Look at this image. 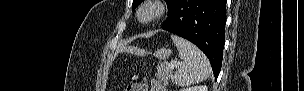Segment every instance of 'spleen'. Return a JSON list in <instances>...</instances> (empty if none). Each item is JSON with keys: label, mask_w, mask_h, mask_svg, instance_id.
Here are the masks:
<instances>
[{"label": "spleen", "mask_w": 304, "mask_h": 91, "mask_svg": "<svg viewBox=\"0 0 304 91\" xmlns=\"http://www.w3.org/2000/svg\"><path fill=\"white\" fill-rule=\"evenodd\" d=\"M171 39L181 60L173 82L178 86H189L207 79L211 73V65L205 54L184 38L171 36Z\"/></svg>", "instance_id": "3e777b00"}]
</instances>
